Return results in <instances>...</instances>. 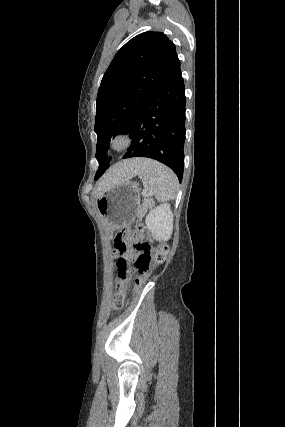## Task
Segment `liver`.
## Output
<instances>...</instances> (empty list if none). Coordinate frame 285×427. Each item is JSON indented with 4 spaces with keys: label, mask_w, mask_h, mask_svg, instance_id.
<instances>
[{
    "label": "liver",
    "mask_w": 285,
    "mask_h": 427,
    "mask_svg": "<svg viewBox=\"0 0 285 427\" xmlns=\"http://www.w3.org/2000/svg\"><path fill=\"white\" fill-rule=\"evenodd\" d=\"M144 160L145 159L142 158H134L124 160L112 166L97 184L95 195L98 196L112 185L129 180L136 176Z\"/></svg>",
    "instance_id": "6515ba94"
}]
</instances>
